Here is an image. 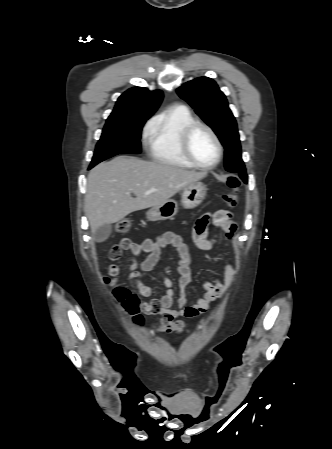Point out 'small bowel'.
Returning <instances> with one entry per match:
<instances>
[{
	"instance_id": "c3829d8e",
	"label": "small bowel",
	"mask_w": 332,
	"mask_h": 449,
	"mask_svg": "<svg viewBox=\"0 0 332 449\" xmlns=\"http://www.w3.org/2000/svg\"><path fill=\"white\" fill-rule=\"evenodd\" d=\"M221 230L227 239H233L237 225L232 220V214L226 210H217L202 214L196 220L193 231V243L203 251L211 250L215 246V240L209 236L210 226ZM127 248L132 253L131 263L127 272V280L132 282L141 297H149L152 295V288L142 281V273L151 271L160 259L161 252L164 248L174 249L178 256V272L179 279V295L177 299V307L173 308L174 285L172 280L163 272L160 276L166 287L165 294L161 297L154 298L149 302L140 304V309L148 315H171L172 317L183 316L186 318H194L205 313L210 305L222 296V294L231 286L237 267L229 259H223V279L213 278L206 282L203 287L202 295L193 303L188 304L185 288L191 278V255L188 246L183 239L173 233L166 232L159 235L156 239H145L142 242H134L126 239ZM145 254V259L139 264L137 257ZM108 275L103 277V281L107 285H118V276L120 268L118 265L112 264L107 267Z\"/></svg>"
}]
</instances>
